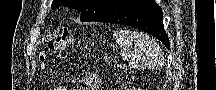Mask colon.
I'll return each mask as SVG.
<instances>
[{
    "instance_id": "colon-1",
    "label": "colon",
    "mask_w": 216,
    "mask_h": 90,
    "mask_svg": "<svg viewBox=\"0 0 216 90\" xmlns=\"http://www.w3.org/2000/svg\"><path fill=\"white\" fill-rule=\"evenodd\" d=\"M72 41L71 35L69 32L64 31L62 32L54 41L48 43L45 49L40 54V60L44 65L46 61L47 55L53 51L63 50L70 45Z\"/></svg>"
}]
</instances>
